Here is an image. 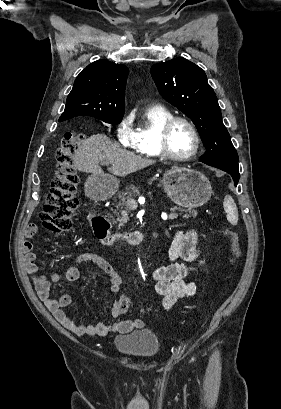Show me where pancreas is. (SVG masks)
Listing matches in <instances>:
<instances>
[{
  "label": "pancreas",
  "mask_w": 281,
  "mask_h": 409,
  "mask_svg": "<svg viewBox=\"0 0 281 409\" xmlns=\"http://www.w3.org/2000/svg\"><path fill=\"white\" fill-rule=\"evenodd\" d=\"M133 196H140V190L137 188V186H134V184H131V186H128V192H123V194H120V202H118L117 207H119L118 211L120 209H124V207H127V200L129 198H133ZM173 211H177V207H173ZM121 215H126L125 211H120ZM186 213H192V217H197L196 211H192V209H188ZM177 215H182V213H177ZM186 219L189 217V215H185ZM119 223V227H122V223H127L129 221L128 217H119L118 213V219H116Z\"/></svg>",
  "instance_id": "1"
}]
</instances>
